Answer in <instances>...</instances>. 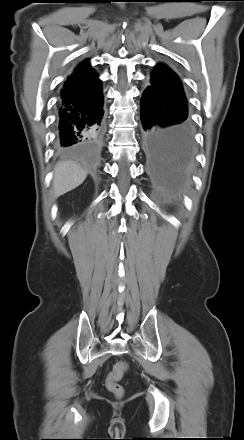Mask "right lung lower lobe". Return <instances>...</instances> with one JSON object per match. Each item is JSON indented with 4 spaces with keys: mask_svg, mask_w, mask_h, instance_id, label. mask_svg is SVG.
<instances>
[{
    "mask_svg": "<svg viewBox=\"0 0 244 440\" xmlns=\"http://www.w3.org/2000/svg\"><path fill=\"white\" fill-rule=\"evenodd\" d=\"M103 124L102 93L76 103L60 102L56 125L58 148L73 150L100 137Z\"/></svg>",
    "mask_w": 244,
    "mask_h": 440,
    "instance_id": "right-lung-lower-lobe-1",
    "label": "right lung lower lobe"
}]
</instances>
